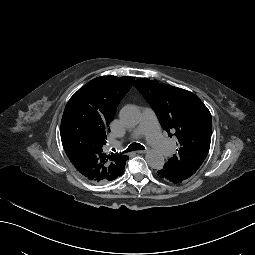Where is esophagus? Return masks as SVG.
Instances as JSON below:
<instances>
[{"mask_svg":"<svg viewBox=\"0 0 255 255\" xmlns=\"http://www.w3.org/2000/svg\"><path fill=\"white\" fill-rule=\"evenodd\" d=\"M146 152H147V150H145V149L144 150H137L136 151V153H139V154H143V153H146Z\"/></svg>","mask_w":255,"mask_h":255,"instance_id":"1","label":"esophagus"}]
</instances>
